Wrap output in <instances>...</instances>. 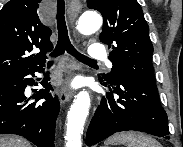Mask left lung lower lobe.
Masks as SVG:
<instances>
[{
	"label": "left lung lower lobe",
	"instance_id": "0a47b994",
	"mask_svg": "<svg viewBox=\"0 0 183 147\" xmlns=\"http://www.w3.org/2000/svg\"><path fill=\"white\" fill-rule=\"evenodd\" d=\"M101 82L109 91L88 127V146L129 130L168 138V118L160 104L156 83L128 75L115 79L113 84Z\"/></svg>",
	"mask_w": 183,
	"mask_h": 147
}]
</instances>
